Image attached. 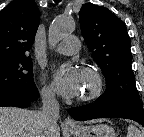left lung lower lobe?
Listing matches in <instances>:
<instances>
[{
  "label": "left lung lower lobe",
  "instance_id": "obj_1",
  "mask_svg": "<svg viewBox=\"0 0 144 137\" xmlns=\"http://www.w3.org/2000/svg\"><path fill=\"white\" fill-rule=\"evenodd\" d=\"M69 114L78 121L95 118H126L144 126V110L140 99H121L106 102L98 98L94 103L70 108Z\"/></svg>",
  "mask_w": 144,
  "mask_h": 137
}]
</instances>
